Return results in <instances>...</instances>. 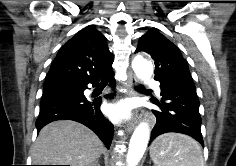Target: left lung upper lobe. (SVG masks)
I'll use <instances>...</instances> for the list:
<instances>
[{
  "label": "left lung upper lobe",
  "mask_w": 236,
  "mask_h": 166,
  "mask_svg": "<svg viewBox=\"0 0 236 166\" xmlns=\"http://www.w3.org/2000/svg\"><path fill=\"white\" fill-rule=\"evenodd\" d=\"M146 52L155 61V77L160 81L172 76L191 78L187 62L178 47L155 29H150L139 41L137 52Z\"/></svg>",
  "instance_id": "left-lung-upper-lobe-1"
}]
</instances>
